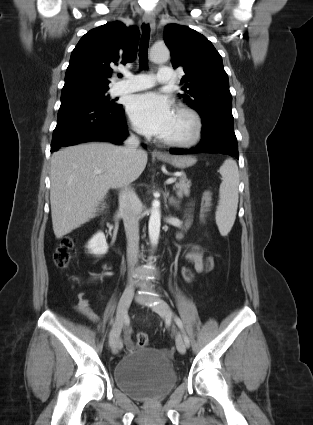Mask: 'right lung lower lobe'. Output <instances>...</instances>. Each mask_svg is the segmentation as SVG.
<instances>
[{
    "label": "right lung lower lobe",
    "mask_w": 313,
    "mask_h": 425,
    "mask_svg": "<svg viewBox=\"0 0 313 425\" xmlns=\"http://www.w3.org/2000/svg\"><path fill=\"white\" fill-rule=\"evenodd\" d=\"M127 135L122 105L108 106L83 95L64 93L61 95L51 152L87 141L121 144Z\"/></svg>",
    "instance_id": "98d812e1"
}]
</instances>
